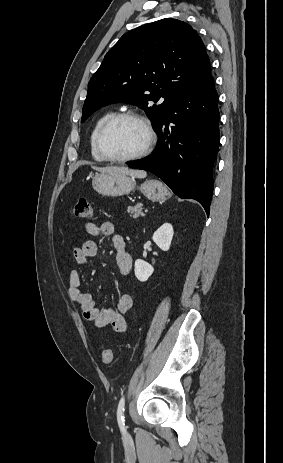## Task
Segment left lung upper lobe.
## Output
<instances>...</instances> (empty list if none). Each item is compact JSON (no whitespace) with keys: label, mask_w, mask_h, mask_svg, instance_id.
<instances>
[{"label":"left lung upper lobe","mask_w":283,"mask_h":463,"mask_svg":"<svg viewBox=\"0 0 283 463\" xmlns=\"http://www.w3.org/2000/svg\"><path fill=\"white\" fill-rule=\"evenodd\" d=\"M209 73L205 46L190 25L165 18L140 26L120 38L89 81L81 122L102 106L129 102L156 131L173 103Z\"/></svg>","instance_id":"1"}]
</instances>
